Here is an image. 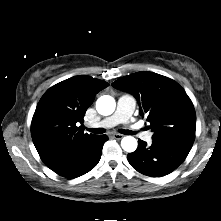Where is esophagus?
<instances>
[{
    "mask_svg": "<svg viewBox=\"0 0 221 221\" xmlns=\"http://www.w3.org/2000/svg\"><path fill=\"white\" fill-rule=\"evenodd\" d=\"M112 137L116 140H120L123 138V135L122 134H113Z\"/></svg>",
    "mask_w": 221,
    "mask_h": 221,
    "instance_id": "esophagus-1",
    "label": "esophagus"
}]
</instances>
